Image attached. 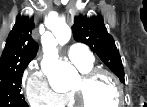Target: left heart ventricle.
I'll return each instance as SVG.
<instances>
[{"mask_svg": "<svg viewBox=\"0 0 147 107\" xmlns=\"http://www.w3.org/2000/svg\"><path fill=\"white\" fill-rule=\"evenodd\" d=\"M78 78L72 89H81ZM84 99L89 107H113L117 105V91L114 84L106 76H99L83 89Z\"/></svg>", "mask_w": 147, "mask_h": 107, "instance_id": "1", "label": "left heart ventricle"}]
</instances>
